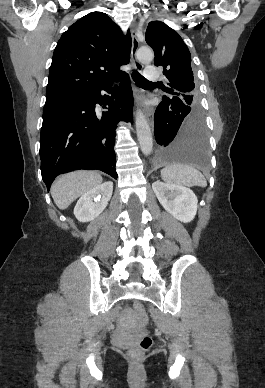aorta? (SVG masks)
<instances>
[{
  "mask_svg": "<svg viewBox=\"0 0 265 388\" xmlns=\"http://www.w3.org/2000/svg\"><path fill=\"white\" fill-rule=\"evenodd\" d=\"M136 55L138 60L144 63H150L154 58L152 50L145 47L140 48ZM135 125L141 151L146 156L150 155L153 148L152 133L147 119L141 111L136 113Z\"/></svg>",
  "mask_w": 265,
  "mask_h": 388,
  "instance_id": "762f6f07",
  "label": "aorta"
}]
</instances>
